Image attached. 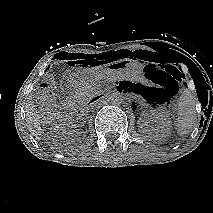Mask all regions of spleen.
Here are the masks:
<instances>
[{
	"instance_id": "spleen-1",
	"label": "spleen",
	"mask_w": 213,
	"mask_h": 213,
	"mask_svg": "<svg viewBox=\"0 0 213 213\" xmlns=\"http://www.w3.org/2000/svg\"><path fill=\"white\" fill-rule=\"evenodd\" d=\"M196 122L195 99L189 90H185L178 102L177 134H188Z\"/></svg>"
}]
</instances>
